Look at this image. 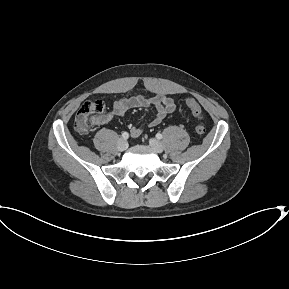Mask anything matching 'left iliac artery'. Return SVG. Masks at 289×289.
I'll use <instances>...</instances> for the list:
<instances>
[{"instance_id":"left-iliac-artery-1","label":"left iliac artery","mask_w":289,"mask_h":289,"mask_svg":"<svg viewBox=\"0 0 289 289\" xmlns=\"http://www.w3.org/2000/svg\"><path fill=\"white\" fill-rule=\"evenodd\" d=\"M156 138H157V139H161V138H162V134L157 133V134H156Z\"/></svg>"}]
</instances>
